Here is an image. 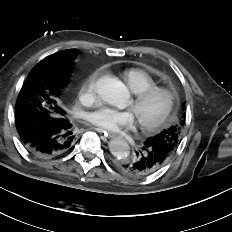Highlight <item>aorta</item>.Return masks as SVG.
<instances>
[{"mask_svg":"<svg viewBox=\"0 0 232 232\" xmlns=\"http://www.w3.org/2000/svg\"><path fill=\"white\" fill-rule=\"evenodd\" d=\"M99 96L107 103L118 108H124L129 100L126 86L116 77L105 76L96 83ZM111 154L119 159L126 158L130 153L128 143L122 138H115L109 142Z\"/></svg>","mask_w":232,"mask_h":232,"instance_id":"1","label":"aorta"}]
</instances>
